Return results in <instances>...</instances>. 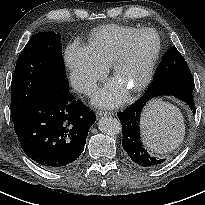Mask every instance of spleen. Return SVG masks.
I'll return each mask as SVG.
<instances>
[{"label":"spleen","instance_id":"1","mask_svg":"<svg viewBox=\"0 0 205 205\" xmlns=\"http://www.w3.org/2000/svg\"><path fill=\"white\" fill-rule=\"evenodd\" d=\"M141 131L145 145L156 153L176 149L185 134L184 118L180 110L167 102L153 101L144 109Z\"/></svg>","mask_w":205,"mask_h":205}]
</instances>
